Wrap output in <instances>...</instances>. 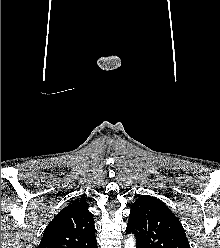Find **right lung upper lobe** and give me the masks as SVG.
I'll return each instance as SVG.
<instances>
[{
    "instance_id": "1",
    "label": "right lung upper lobe",
    "mask_w": 220,
    "mask_h": 248,
    "mask_svg": "<svg viewBox=\"0 0 220 248\" xmlns=\"http://www.w3.org/2000/svg\"><path fill=\"white\" fill-rule=\"evenodd\" d=\"M85 199L63 208L44 231L38 248H90L96 242L93 214Z\"/></svg>"
}]
</instances>
